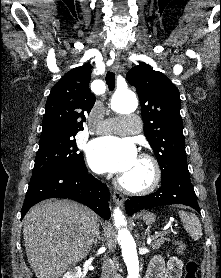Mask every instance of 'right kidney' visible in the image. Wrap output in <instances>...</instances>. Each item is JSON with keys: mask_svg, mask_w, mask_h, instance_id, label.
<instances>
[{"mask_svg": "<svg viewBox=\"0 0 221 278\" xmlns=\"http://www.w3.org/2000/svg\"><path fill=\"white\" fill-rule=\"evenodd\" d=\"M63 278H81V268L80 267L70 268L63 276Z\"/></svg>", "mask_w": 221, "mask_h": 278, "instance_id": "right-kidney-1", "label": "right kidney"}]
</instances>
